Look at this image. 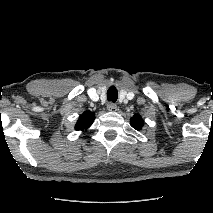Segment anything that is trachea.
I'll return each instance as SVG.
<instances>
[{
  "mask_svg": "<svg viewBox=\"0 0 213 213\" xmlns=\"http://www.w3.org/2000/svg\"><path fill=\"white\" fill-rule=\"evenodd\" d=\"M118 98V91L114 86H111L107 91V99L108 101H111L115 103Z\"/></svg>",
  "mask_w": 213,
  "mask_h": 213,
  "instance_id": "trachea-1",
  "label": "trachea"
}]
</instances>
